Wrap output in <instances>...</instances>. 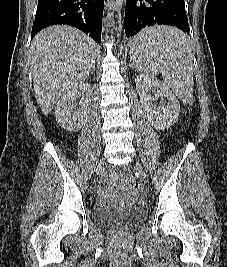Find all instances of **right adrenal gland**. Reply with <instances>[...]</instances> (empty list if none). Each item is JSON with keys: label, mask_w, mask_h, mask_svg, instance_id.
Listing matches in <instances>:
<instances>
[{"label": "right adrenal gland", "mask_w": 227, "mask_h": 267, "mask_svg": "<svg viewBox=\"0 0 227 267\" xmlns=\"http://www.w3.org/2000/svg\"><path fill=\"white\" fill-rule=\"evenodd\" d=\"M95 69H96V68H95V64H94V65H93V68H92V70H91L90 73L92 74L93 72H95Z\"/></svg>", "instance_id": "1"}]
</instances>
